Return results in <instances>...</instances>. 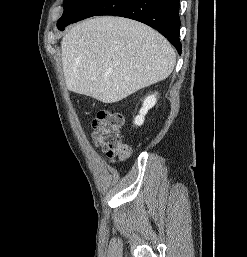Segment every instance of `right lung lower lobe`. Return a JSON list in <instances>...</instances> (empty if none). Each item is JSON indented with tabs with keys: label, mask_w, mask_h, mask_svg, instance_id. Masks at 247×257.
<instances>
[{
	"label": "right lung lower lobe",
	"mask_w": 247,
	"mask_h": 257,
	"mask_svg": "<svg viewBox=\"0 0 247 257\" xmlns=\"http://www.w3.org/2000/svg\"><path fill=\"white\" fill-rule=\"evenodd\" d=\"M96 15H114L134 19L158 30L181 54L179 40V0H92L82 13L64 28L85 18Z\"/></svg>",
	"instance_id": "obj_1"
}]
</instances>
